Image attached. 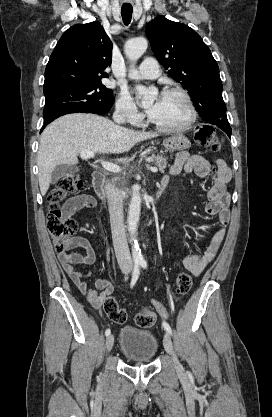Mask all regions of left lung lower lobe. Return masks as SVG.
I'll list each match as a JSON object with an SVG mask.
<instances>
[{
  "label": "left lung lower lobe",
  "instance_id": "1",
  "mask_svg": "<svg viewBox=\"0 0 272 417\" xmlns=\"http://www.w3.org/2000/svg\"><path fill=\"white\" fill-rule=\"evenodd\" d=\"M222 130L225 131L229 137H231V132H232L231 129H222Z\"/></svg>",
  "mask_w": 272,
  "mask_h": 417
}]
</instances>
